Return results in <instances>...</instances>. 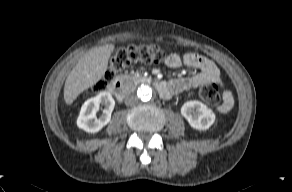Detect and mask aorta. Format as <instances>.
<instances>
[{
  "label": "aorta",
  "instance_id": "762f6f07",
  "mask_svg": "<svg viewBox=\"0 0 292 192\" xmlns=\"http://www.w3.org/2000/svg\"><path fill=\"white\" fill-rule=\"evenodd\" d=\"M152 94H153V89L148 84H142L137 89L138 98L143 102L149 101L152 98Z\"/></svg>",
  "mask_w": 292,
  "mask_h": 192
}]
</instances>
